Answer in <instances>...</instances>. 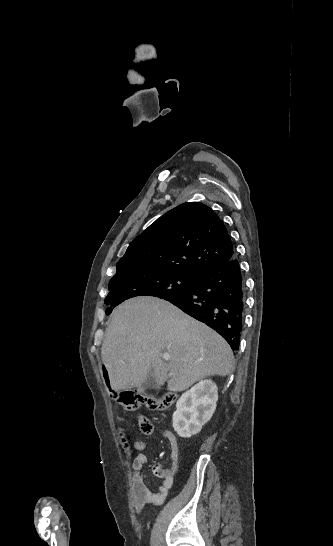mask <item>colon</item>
<instances>
[{
  "label": "colon",
  "mask_w": 333,
  "mask_h": 546,
  "mask_svg": "<svg viewBox=\"0 0 333 546\" xmlns=\"http://www.w3.org/2000/svg\"><path fill=\"white\" fill-rule=\"evenodd\" d=\"M102 378L105 380L106 390L112 391L113 385L110 384L109 378V368L104 364L102 366ZM117 403L126 410H135L140 406H145L153 410H165L171 407L176 401V395L172 392L164 394L160 398H154L152 396L134 392V391H124L116 395ZM140 429L145 435H151L153 433V425L150 419L144 415L139 417Z\"/></svg>",
  "instance_id": "1"
}]
</instances>
